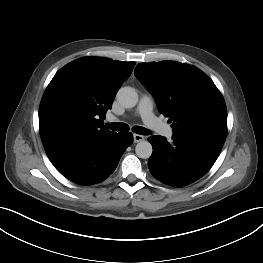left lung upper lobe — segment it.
<instances>
[{"instance_id": "1", "label": "left lung upper lobe", "mask_w": 263, "mask_h": 263, "mask_svg": "<svg viewBox=\"0 0 263 263\" xmlns=\"http://www.w3.org/2000/svg\"><path fill=\"white\" fill-rule=\"evenodd\" d=\"M135 76L152 93L174 132L225 142L227 110L213 81L198 68L176 61L140 63Z\"/></svg>"}]
</instances>
